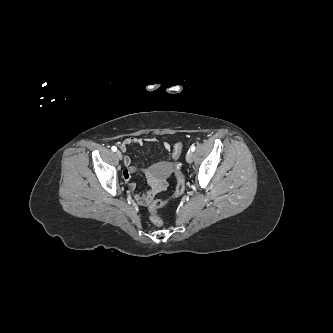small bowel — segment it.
I'll use <instances>...</instances> for the list:
<instances>
[{"mask_svg":"<svg viewBox=\"0 0 333 333\" xmlns=\"http://www.w3.org/2000/svg\"><path fill=\"white\" fill-rule=\"evenodd\" d=\"M154 138H137V137H127L121 144V149L125 151L130 145H143L145 142H154ZM164 148L167 151L171 150V145L168 142L163 143ZM125 170L123 172V177L127 184L132 190L135 189V184L132 181V174L138 169L132 165L129 156L124 158ZM171 169V164L167 162H159L150 167L144 169L147 175L150 189L146 193H135L134 197L138 204L147 205L157 193L163 191L166 188L167 182L164 178L159 175L167 173Z\"/></svg>","mask_w":333,"mask_h":333,"instance_id":"small-bowel-1","label":"small bowel"}]
</instances>
